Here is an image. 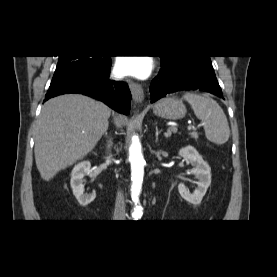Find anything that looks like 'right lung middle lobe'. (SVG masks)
Returning <instances> with one entry per match:
<instances>
[{"label": "right lung middle lobe", "mask_w": 277, "mask_h": 277, "mask_svg": "<svg viewBox=\"0 0 277 277\" xmlns=\"http://www.w3.org/2000/svg\"><path fill=\"white\" fill-rule=\"evenodd\" d=\"M101 56H59V61L50 88L76 82L91 75L109 61Z\"/></svg>", "instance_id": "dd1d6c3e"}]
</instances>
